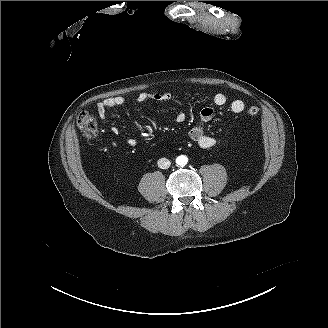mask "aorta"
I'll use <instances>...</instances> for the list:
<instances>
[{"label": "aorta", "instance_id": "obj_1", "mask_svg": "<svg viewBox=\"0 0 328 328\" xmlns=\"http://www.w3.org/2000/svg\"><path fill=\"white\" fill-rule=\"evenodd\" d=\"M188 162V158L184 155H180L176 159V163L180 166H185Z\"/></svg>", "mask_w": 328, "mask_h": 328}]
</instances>
